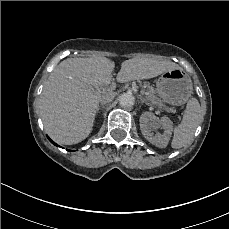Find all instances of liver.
Returning <instances> with one entry per match:
<instances>
[{"label":"liver","mask_w":229,"mask_h":229,"mask_svg":"<svg viewBox=\"0 0 229 229\" xmlns=\"http://www.w3.org/2000/svg\"><path fill=\"white\" fill-rule=\"evenodd\" d=\"M115 62L106 57H76L61 61L44 84L35 103L46 133L59 145H73L91 133L101 100L116 94L107 88ZM178 64L152 58H132L121 63L118 83L152 79Z\"/></svg>","instance_id":"liver-1"}]
</instances>
